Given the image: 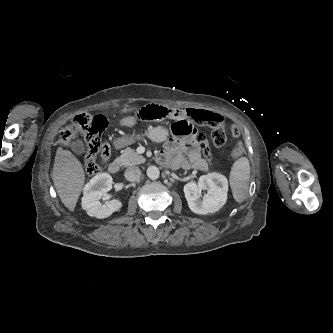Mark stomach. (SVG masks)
Listing matches in <instances>:
<instances>
[{
	"label": "stomach",
	"mask_w": 333,
	"mask_h": 333,
	"mask_svg": "<svg viewBox=\"0 0 333 333\" xmlns=\"http://www.w3.org/2000/svg\"><path fill=\"white\" fill-rule=\"evenodd\" d=\"M147 136L155 142L161 143L166 141L169 136V132L166 128L162 126H157L150 128L147 132ZM137 139H140L139 135L131 134L125 136H119L115 139L114 143L118 146L129 145L135 142Z\"/></svg>",
	"instance_id": "0dacf381"
}]
</instances>
